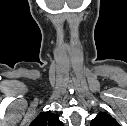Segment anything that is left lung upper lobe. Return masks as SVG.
<instances>
[{
	"mask_svg": "<svg viewBox=\"0 0 127 126\" xmlns=\"http://www.w3.org/2000/svg\"><path fill=\"white\" fill-rule=\"evenodd\" d=\"M91 126H120L117 121L108 113L99 112L91 121Z\"/></svg>",
	"mask_w": 127,
	"mask_h": 126,
	"instance_id": "left-lung-upper-lobe-1",
	"label": "left lung upper lobe"
}]
</instances>
